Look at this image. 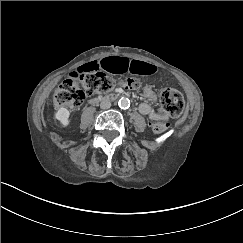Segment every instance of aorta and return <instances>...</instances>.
<instances>
[{
    "label": "aorta",
    "mask_w": 243,
    "mask_h": 243,
    "mask_svg": "<svg viewBox=\"0 0 243 243\" xmlns=\"http://www.w3.org/2000/svg\"><path fill=\"white\" fill-rule=\"evenodd\" d=\"M119 105L121 108H127L129 105V99H127L126 97L120 98Z\"/></svg>",
    "instance_id": "aorta-1"
}]
</instances>
